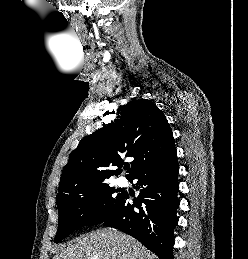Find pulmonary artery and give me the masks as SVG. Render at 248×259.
Instances as JSON below:
<instances>
[{"instance_id": "e3ab8cb5", "label": "pulmonary artery", "mask_w": 248, "mask_h": 259, "mask_svg": "<svg viewBox=\"0 0 248 259\" xmlns=\"http://www.w3.org/2000/svg\"><path fill=\"white\" fill-rule=\"evenodd\" d=\"M126 183H127V180H126L124 177L118 178V184H119L120 186H123V185H125Z\"/></svg>"}]
</instances>
